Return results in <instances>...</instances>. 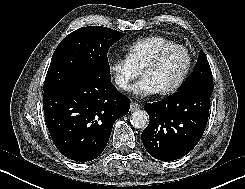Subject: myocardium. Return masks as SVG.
Wrapping results in <instances>:
<instances>
[{"label":"myocardium","mask_w":245,"mask_h":189,"mask_svg":"<svg viewBox=\"0 0 245 189\" xmlns=\"http://www.w3.org/2000/svg\"><path fill=\"white\" fill-rule=\"evenodd\" d=\"M176 49L182 50L186 53L187 59H188L187 67H186L183 75L180 77V79L176 83H174L172 86H170L166 89L159 91V93L161 95L173 94V93L177 92L185 84V82L187 81V79L189 78V76L192 72L193 65H194V59H193V55H192L191 51L187 47H185L184 45H181V44H175L174 43V44L165 46L162 49H160L145 64V66L140 71V75L142 76L146 71L157 67L169 52L176 50Z\"/></svg>","instance_id":"1"}]
</instances>
